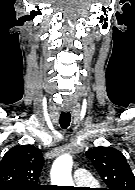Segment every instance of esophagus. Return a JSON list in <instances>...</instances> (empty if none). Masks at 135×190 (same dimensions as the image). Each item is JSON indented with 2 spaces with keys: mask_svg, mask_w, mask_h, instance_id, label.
Listing matches in <instances>:
<instances>
[{
  "mask_svg": "<svg viewBox=\"0 0 135 190\" xmlns=\"http://www.w3.org/2000/svg\"><path fill=\"white\" fill-rule=\"evenodd\" d=\"M62 109L64 112H68L71 110V106L69 104H65L62 106Z\"/></svg>",
  "mask_w": 135,
  "mask_h": 190,
  "instance_id": "34e87169",
  "label": "esophagus"
}]
</instances>
